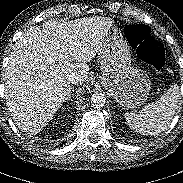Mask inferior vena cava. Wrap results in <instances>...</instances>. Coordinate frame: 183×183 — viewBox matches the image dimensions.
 Here are the masks:
<instances>
[{
    "mask_svg": "<svg viewBox=\"0 0 183 183\" xmlns=\"http://www.w3.org/2000/svg\"><path fill=\"white\" fill-rule=\"evenodd\" d=\"M67 81L72 84H81L82 83V79H81L80 75L77 73L70 74L67 78Z\"/></svg>",
    "mask_w": 183,
    "mask_h": 183,
    "instance_id": "inferior-vena-cava-1",
    "label": "inferior vena cava"
}]
</instances>
